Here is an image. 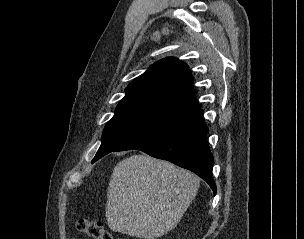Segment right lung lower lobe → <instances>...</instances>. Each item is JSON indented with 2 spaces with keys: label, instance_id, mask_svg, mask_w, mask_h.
<instances>
[{
  "label": "right lung lower lobe",
  "instance_id": "1",
  "mask_svg": "<svg viewBox=\"0 0 304 239\" xmlns=\"http://www.w3.org/2000/svg\"><path fill=\"white\" fill-rule=\"evenodd\" d=\"M208 128L200 108L169 120L114 151L137 149L155 158L170 161L203 178L216 194L212 179L214 158L206 142Z\"/></svg>",
  "mask_w": 304,
  "mask_h": 239
}]
</instances>
